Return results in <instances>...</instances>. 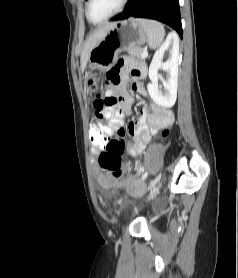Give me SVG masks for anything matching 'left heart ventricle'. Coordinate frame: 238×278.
I'll return each mask as SVG.
<instances>
[{
	"label": "left heart ventricle",
	"instance_id": "left-heart-ventricle-1",
	"mask_svg": "<svg viewBox=\"0 0 238 278\" xmlns=\"http://www.w3.org/2000/svg\"><path fill=\"white\" fill-rule=\"evenodd\" d=\"M121 0H92L90 16L93 20H101L117 9Z\"/></svg>",
	"mask_w": 238,
	"mask_h": 278
}]
</instances>
